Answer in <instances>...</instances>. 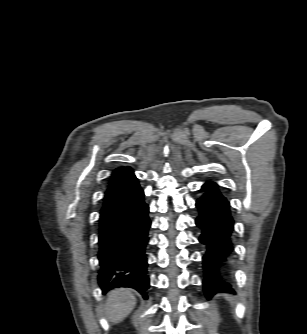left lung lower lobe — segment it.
<instances>
[{
  "label": "left lung lower lobe",
  "mask_w": 307,
  "mask_h": 334,
  "mask_svg": "<svg viewBox=\"0 0 307 334\" xmlns=\"http://www.w3.org/2000/svg\"><path fill=\"white\" fill-rule=\"evenodd\" d=\"M204 195L196 201L199 216L196 225L202 230L199 241L207 248L203 256L204 292L207 298L219 292H232L231 285L224 280V266L233 253L231 236L233 219L229 202L218 191L217 184L203 185Z\"/></svg>",
  "instance_id": "obj_1"
}]
</instances>
